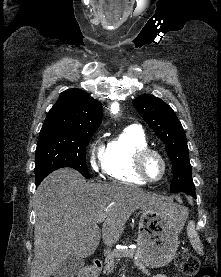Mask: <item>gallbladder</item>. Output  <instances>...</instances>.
Returning <instances> with one entry per match:
<instances>
[{
	"instance_id": "1",
	"label": "gallbladder",
	"mask_w": 221,
	"mask_h": 277,
	"mask_svg": "<svg viewBox=\"0 0 221 277\" xmlns=\"http://www.w3.org/2000/svg\"><path fill=\"white\" fill-rule=\"evenodd\" d=\"M83 266V258L70 256L57 266L53 277H75L82 270Z\"/></svg>"
}]
</instances>
